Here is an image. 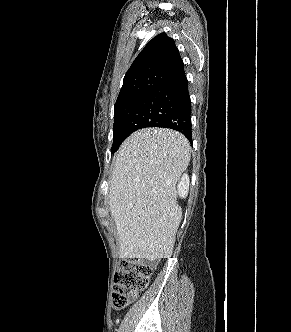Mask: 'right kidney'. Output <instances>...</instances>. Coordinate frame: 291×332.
Returning a JSON list of instances; mask_svg holds the SVG:
<instances>
[{
    "label": "right kidney",
    "instance_id": "obj_1",
    "mask_svg": "<svg viewBox=\"0 0 291 332\" xmlns=\"http://www.w3.org/2000/svg\"><path fill=\"white\" fill-rule=\"evenodd\" d=\"M189 190V177L187 174H184L181 178L180 183L178 184V194L180 197H185L188 194Z\"/></svg>",
    "mask_w": 291,
    "mask_h": 332
}]
</instances>
